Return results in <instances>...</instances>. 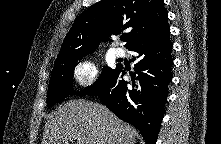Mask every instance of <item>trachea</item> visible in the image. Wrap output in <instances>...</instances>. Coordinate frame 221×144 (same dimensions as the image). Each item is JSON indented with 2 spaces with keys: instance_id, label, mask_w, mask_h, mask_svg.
Masks as SVG:
<instances>
[{
  "instance_id": "3493384b",
  "label": "trachea",
  "mask_w": 221,
  "mask_h": 144,
  "mask_svg": "<svg viewBox=\"0 0 221 144\" xmlns=\"http://www.w3.org/2000/svg\"><path fill=\"white\" fill-rule=\"evenodd\" d=\"M125 37H121V41H124Z\"/></svg>"
}]
</instances>
